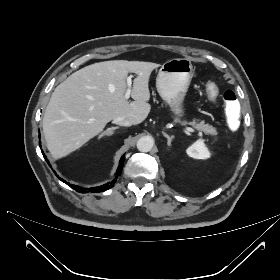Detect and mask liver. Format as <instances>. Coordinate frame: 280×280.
<instances>
[{"label":"liver","instance_id":"1","mask_svg":"<svg viewBox=\"0 0 280 280\" xmlns=\"http://www.w3.org/2000/svg\"><path fill=\"white\" fill-rule=\"evenodd\" d=\"M159 67L152 62L112 60L86 66L59 84L43 118L47 147L55 158L79 149L103 131L106 124L124 117L132 125L142 123L151 106L149 78ZM135 73L131 97L125 92L128 73Z\"/></svg>","mask_w":280,"mask_h":280}]
</instances>
